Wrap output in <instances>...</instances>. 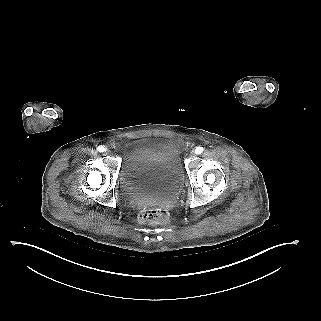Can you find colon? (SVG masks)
Listing matches in <instances>:
<instances>
[{
	"label": "colon",
	"mask_w": 321,
	"mask_h": 321,
	"mask_svg": "<svg viewBox=\"0 0 321 321\" xmlns=\"http://www.w3.org/2000/svg\"><path fill=\"white\" fill-rule=\"evenodd\" d=\"M139 219L145 224H161L167 221L168 212L164 208H146L139 214Z\"/></svg>",
	"instance_id": "obj_1"
}]
</instances>
